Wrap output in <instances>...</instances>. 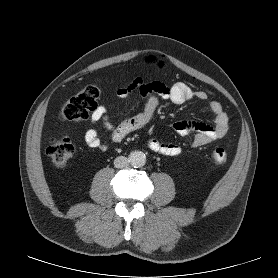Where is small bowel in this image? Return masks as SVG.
<instances>
[{
	"instance_id": "1",
	"label": "small bowel",
	"mask_w": 278,
	"mask_h": 278,
	"mask_svg": "<svg viewBox=\"0 0 278 278\" xmlns=\"http://www.w3.org/2000/svg\"><path fill=\"white\" fill-rule=\"evenodd\" d=\"M116 94L121 100H129L133 94H138L145 100V105L140 113L122 121L117 126H114L109 120L108 112L111 105L97 106L90 116L92 126L86 130L84 139L89 147L101 152L106 151L107 146L102 143L98 136L95 129L97 123H102L110 131L113 142H120L127 135L145 127L151 121L161 100L170 101L174 104H184L192 100L205 102L208 99L206 92L195 91L183 82L168 86L159 81L147 83L141 78H136L129 85L119 88ZM208 108L214 116V125L202 122L178 121L172 125L174 132L180 136L193 134L192 145L194 147H200L222 139L228 132V115L218 101H210ZM147 145L153 152L166 156H178L182 152L179 145L161 142L155 138H150Z\"/></svg>"
}]
</instances>
